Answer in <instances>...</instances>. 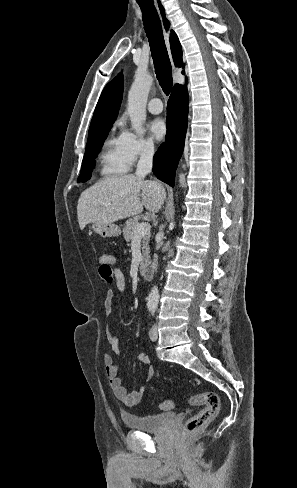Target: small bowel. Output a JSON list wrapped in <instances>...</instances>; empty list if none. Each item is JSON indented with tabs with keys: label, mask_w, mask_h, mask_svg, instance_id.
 Here are the masks:
<instances>
[{
	"label": "small bowel",
	"mask_w": 297,
	"mask_h": 488,
	"mask_svg": "<svg viewBox=\"0 0 297 488\" xmlns=\"http://www.w3.org/2000/svg\"><path fill=\"white\" fill-rule=\"evenodd\" d=\"M109 255L111 257V261H110V266H111L116 259L113 255L111 254ZM100 278L105 283L113 284L114 288L117 291H123L126 287L124 274L118 268H112L111 266V280L109 282H106L101 276ZM114 298H115V292L114 290L111 289L107 292L106 299H105V309L107 314H109L112 310ZM108 340L111 344L114 354L118 355L120 353L118 337L115 334L110 333L108 336ZM136 359L139 363L149 366V368L146 374L145 383L139 388V390L132 391V392H129L127 388L123 385L122 380L118 375L119 367L115 363L113 355L107 353L104 355V359H103L104 366H105V373L107 375L109 385L114 395L128 406H134L140 403L144 395L147 383L155 375V367L151 365L150 357L147 354L141 353L137 356Z\"/></svg>",
	"instance_id": "obj_1"
}]
</instances>
